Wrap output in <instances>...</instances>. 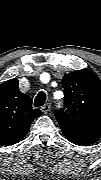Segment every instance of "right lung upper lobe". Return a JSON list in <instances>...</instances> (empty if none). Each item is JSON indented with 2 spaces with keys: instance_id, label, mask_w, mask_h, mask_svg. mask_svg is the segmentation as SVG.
<instances>
[{
  "instance_id": "1",
  "label": "right lung upper lobe",
  "mask_w": 101,
  "mask_h": 180,
  "mask_svg": "<svg viewBox=\"0 0 101 180\" xmlns=\"http://www.w3.org/2000/svg\"><path fill=\"white\" fill-rule=\"evenodd\" d=\"M41 115L32 108L31 98L20 92L18 80L10 79L0 85V143L13 145L28 133L33 120Z\"/></svg>"
}]
</instances>
